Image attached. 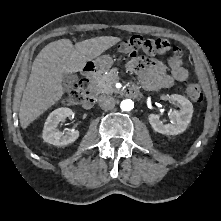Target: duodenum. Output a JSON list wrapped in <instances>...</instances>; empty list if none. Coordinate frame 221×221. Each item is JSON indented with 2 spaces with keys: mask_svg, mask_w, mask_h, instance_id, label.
<instances>
[{
  "mask_svg": "<svg viewBox=\"0 0 221 221\" xmlns=\"http://www.w3.org/2000/svg\"><path fill=\"white\" fill-rule=\"evenodd\" d=\"M97 73V68L93 63H88L84 68V80L89 84L92 82L93 78ZM125 95L127 97H135L138 95V89L136 87H129L125 90ZM95 98L92 94H88L84 101V106L90 108L94 105Z\"/></svg>",
  "mask_w": 221,
  "mask_h": 221,
  "instance_id": "1",
  "label": "duodenum"
}]
</instances>
